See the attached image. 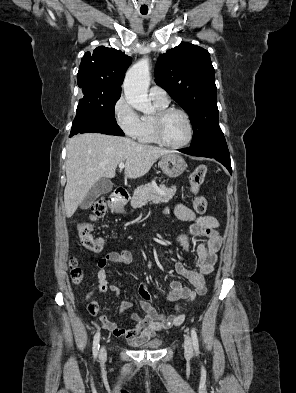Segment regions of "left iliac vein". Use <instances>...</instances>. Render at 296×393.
<instances>
[{
  "mask_svg": "<svg viewBox=\"0 0 296 393\" xmlns=\"http://www.w3.org/2000/svg\"><path fill=\"white\" fill-rule=\"evenodd\" d=\"M184 349H185L186 355L191 356L193 354L192 340H191L190 336L185 337Z\"/></svg>",
  "mask_w": 296,
  "mask_h": 393,
  "instance_id": "left-iliac-vein-1",
  "label": "left iliac vein"
}]
</instances>
